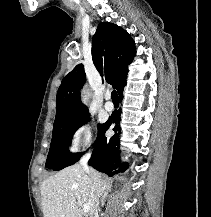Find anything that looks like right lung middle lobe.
<instances>
[{"label":"right lung middle lobe","mask_w":211,"mask_h":217,"mask_svg":"<svg viewBox=\"0 0 211 217\" xmlns=\"http://www.w3.org/2000/svg\"><path fill=\"white\" fill-rule=\"evenodd\" d=\"M89 120V114L54 127L46 167L53 170H61L79 161L83 153H70L68 146L72 140L74 132ZM104 124L99 125V134L94 145L98 143L103 132Z\"/></svg>","instance_id":"1"}]
</instances>
